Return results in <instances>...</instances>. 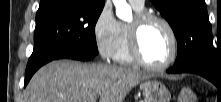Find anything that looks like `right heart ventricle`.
Wrapping results in <instances>:
<instances>
[{"label": "right heart ventricle", "instance_id": "e07e8e85", "mask_svg": "<svg viewBox=\"0 0 221 102\" xmlns=\"http://www.w3.org/2000/svg\"><path fill=\"white\" fill-rule=\"evenodd\" d=\"M137 12H142L143 8H137L133 6ZM121 26V38L119 42V46L117 48V51L114 55V59L124 65H130L133 64L135 61L131 56L130 50H129V43H128V25L125 23H120Z\"/></svg>", "mask_w": 221, "mask_h": 102}]
</instances>
